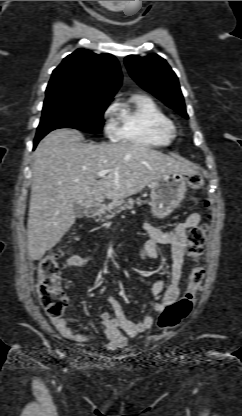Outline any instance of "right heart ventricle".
<instances>
[{"mask_svg": "<svg viewBox=\"0 0 242 416\" xmlns=\"http://www.w3.org/2000/svg\"><path fill=\"white\" fill-rule=\"evenodd\" d=\"M115 109L119 119L117 140L147 147H161L172 142L171 122L150 97L135 94L125 102H118Z\"/></svg>", "mask_w": 242, "mask_h": 416, "instance_id": "obj_1", "label": "right heart ventricle"}]
</instances>
